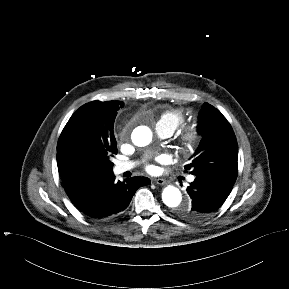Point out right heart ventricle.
Listing matches in <instances>:
<instances>
[{
    "label": "right heart ventricle",
    "instance_id": "obj_1",
    "mask_svg": "<svg viewBox=\"0 0 289 289\" xmlns=\"http://www.w3.org/2000/svg\"><path fill=\"white\" fill-rule=\"evenodd\" d=\"M186 120L185 111L180 108L168 109L164 111L157 123L163 124L172 132L178 129Z\"/></svg>",
    "mask_w": 289,
    "mask_h": 289
}]
</instances>
